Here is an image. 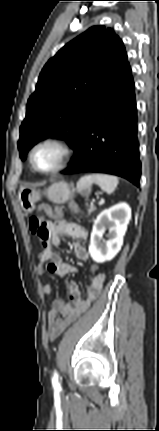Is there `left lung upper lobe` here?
<instances>
[{"label": "left lung upper lobe", "mask_w": 159, "mask_h": 431, "mask_svg": "<svg viewBox=\"0 0 159 431\" xmlns=\"http://www.w3.org/2000/svg\"><path fill=\"white\" fill-rule=\"evenodd\" d=\"M129 70L123 42L111 28L91 27L67 43L46 63L28 99L18 141L21 159L47 137L65 139L74 149Z\"/></svg>", "instance_id": "5c2ea615"}]
</instances>
